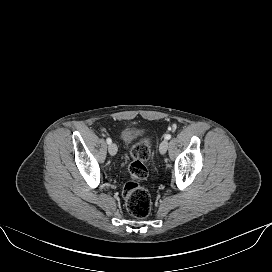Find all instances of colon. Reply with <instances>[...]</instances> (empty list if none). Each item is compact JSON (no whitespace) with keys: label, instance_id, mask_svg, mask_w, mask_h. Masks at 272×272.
<instances>
[{"label":"colon","instance_id":"obj_1","mask_svg":"<svg viewBox=\"0 0 272 272\" xmlns=\"http://www.w3.org/2000/svg\"><path fill=\"white\" fill-rule=\"evenodd\" d=\"M132 161L129 165L130 179L123 188V198L127 211L136 218L147 217L152 208L148 191L140 185L146 179L148 171L145 162L150 157V143L144 139L137 143L131 151Z\"/></svg>","mask_w":272,"mask_h":272}]
</instances>
